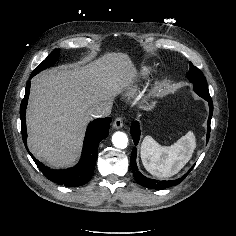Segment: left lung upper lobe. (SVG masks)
Here are the masks:
<instances>
[{
	"mask_svg": "<svg viewBox=\"0 0 236 236\" xmlns=\"http://www.w3.org/2000/svg\"><path fill=\"white\" fill-rule=\"evenodd\" d=\"M187 78L194 85V91L204 99L211 98L207 86L206 79L203 73L192 63H190Z\"/></svg>",
	"mask_w": 236,
	"mask_h": 236,
	"instance_id": "1",
	"label": "left lung upper lobe"
}]
</instances>
